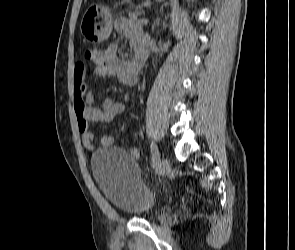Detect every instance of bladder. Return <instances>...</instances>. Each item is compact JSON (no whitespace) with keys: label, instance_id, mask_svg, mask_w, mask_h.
Returning <instances> with one entry per match:
<instances>
[{"label":"bladder","instance_id":"1","mask_svg":"<svg viewBox=\"0 0 295 250\" xmlns=\"http://www.w3.org/2000/svg\"><path fill=\"white\" fill-rule=\"evenodd\" d=\"M91 170L103 195L121 211L142 218L157 211L158 200L128 152L105 147L92 156Z\"/></svg>","mask_w":295,"mask_h":250}]
</instances>
